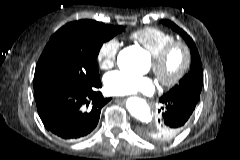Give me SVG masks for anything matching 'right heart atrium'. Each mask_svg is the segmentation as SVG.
<instances>
[{"label": "right heart atrium", "instance_id": "1", "mask_svg": "<svg viewBox=\"0 0 240 160\" xmlns=\"http://www.w3.org/2000/svg\"><path fill=\"white\" fill-rule=\"evenodd\" d=\"M119 49L120 43L115 38L105 41L100 46L97 52V61L102 70H109L116 64Z\"/></svg>", "mask_w": 240, "mask_h": 160}]
</instances>
